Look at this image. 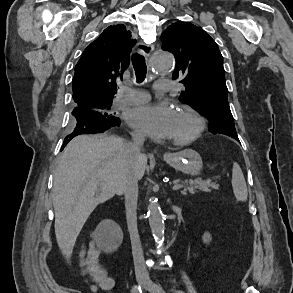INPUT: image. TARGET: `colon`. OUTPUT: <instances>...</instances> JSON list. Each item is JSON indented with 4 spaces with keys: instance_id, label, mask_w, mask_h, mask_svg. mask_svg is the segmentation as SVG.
Returning a JSON list of instances; mask_svg holds the SVG:
<instances>
[{
    "instance_id": "1",
    "label": "colon",
    "mask_w": 293,
    "mask_h": 293,
    "mask_svg": "<svg viewBox=\"0 0 293 293\" xmlns=\"http://www.w3.org/2000/svg\"><path fill=\"white\" fill-rule=\"evenodd\" d=\"M97 258L98 250L89 243L82 251L81 273L95 288L108 291L109 280L106 272L98 264Z\"/></svg>"
}]
</instances>
